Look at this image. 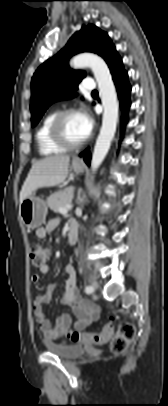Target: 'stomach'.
I'll return each mask as SVG.
<instances>
[{
    "instance_id": "1",
    "label": "stomach",
    "mask_w": 168,
    "mask_h": 406,
    "mask_svg": "<svg viewBox=\"0 0 168 406\" xmlns=\"http://www.w3.org/2000/svg\"><path fill=\"white\" fill-rule=\"evenodd\" d=\"M71 167L75 173L79 174L84 172L85 164L75 159L72 161ZM19 215L27 228H38L45 222L47 205L44 200L32 193L20 203Z\"/></svg>"
}]
</instances>
